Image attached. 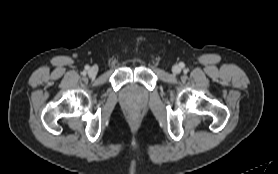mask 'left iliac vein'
<instances>
[{
	"mask_svg": "<svg viewBox=\"0 0 278 174\" xmlns=\"http://www.w3.org/2000/svg\"><path fill=\"white\" fill-rule=\"evenodd\" d=\"M172 72H173L174 74H179V73L181 72V68H180L178 65H174V66L172 67Z\"/></svg>",
	"mask_w": 278,
	"mask_h": 174,
	"instance_id": "1",
	"label": "left iliac vein"
}]
</instances>
